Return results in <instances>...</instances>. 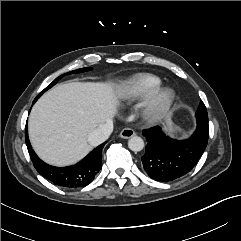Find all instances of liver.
Here are the masks:
<instances>
[{"instance_id":"6515ba94","label":"liver","mask_w":241,"mask_h":241,"mask_svg":"<svg viewBox=\"0 0 241 241\" xmlns=\"http://www.w3.org/2000/svg\"><path fill=\"white\" fill-rule=\"evenodd\" d=\"M110 84L66 83L46 92L33 106L29 138L38 156L48 164L68 166L93 148L89 134L117 113Z\"/></svg>"}]
</instances>
